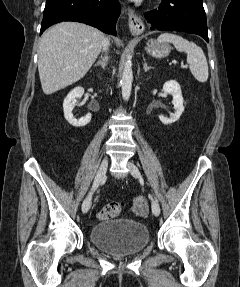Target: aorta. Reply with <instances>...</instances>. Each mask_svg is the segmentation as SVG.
<instances>
[{"label": "aorta", "mask_w": 240, "mask_h": 287, "mask_svg": "<svg viewBox=\"0 0 240 287\" xmlns=\"http://www.w3.org/2000/svg\"><path fill=\"white\" fill-rule=\"evenodd\" d=\"M132 81H133L132 64L130 61H127L125 63L121 78L122 97L126 101L130 98L131 95Z\"/></svg>", "instance_id": "obj_1"}]
</instances>
